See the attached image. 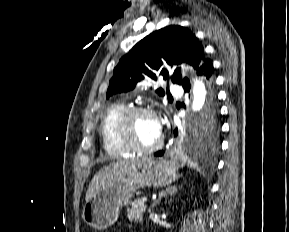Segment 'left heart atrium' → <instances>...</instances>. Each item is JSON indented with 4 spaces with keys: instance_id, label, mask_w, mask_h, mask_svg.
<instances>
[{
    "instance_id": "39dd6f15",
    "label": "left heart atrium",
    "mask_w": 289,
    "mask_h": 232,
    "mask_svg": "<svg viewBox=\"0 0 289 232\" xmlns=\"http://www.w3.org/2000/svg\"><path fill=\"white\" fill-rule=\"evenodd\" d=\"M158 132H159V135H161V125H160V123H158Z\"/></svg>"
}]
</instances>
